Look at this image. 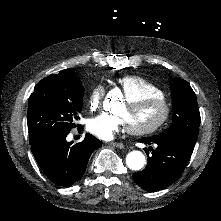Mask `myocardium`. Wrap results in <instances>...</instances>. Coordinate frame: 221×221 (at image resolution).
<instances>
[{
    "mask_svg": "<svg viewBox=\"0 0 221 221\" xmlns=\"http://www.w3.org/2000/svg\"><path fill=\"white\" fill-rule=\"evenodd\" d=\"M155 109L156 114L153 120L139 122L134 124L144 110ZM128 111L133 114V124L127 127V132L130 135H142L150 131H156L165 127L171 118V107L168 101L163 96H153L148 99L139 100L131 103L128 106Z\"/></svg>",
    "mask_w": 221,
    "mask_h": 221,
    "instance_id": "obj_1",
    "label": "myocardium"
}]
</instances>
